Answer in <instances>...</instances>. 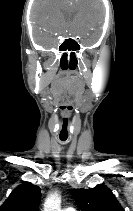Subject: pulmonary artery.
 <instances>
[{"label":"pulmonary artery","instance_id":"e3ab8cb5","mask_svg":"<svg viewBox=\"0 0 133 211\" xmlns=\"http://www.w3.org/2000/svg\"><path fill=\"white\" fill-rule=\"evenodd\" d=\"M63 211H76V210L72 207H68V208H65Z\"/></svg>","mask_w":133,"mask_h":211}]
</instances>
